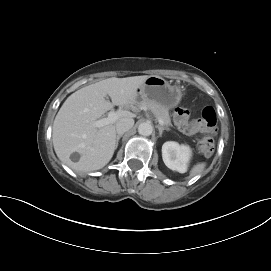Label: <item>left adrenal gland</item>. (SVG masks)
Wrapping results in <instances>:
<instances>
[{"label": "left adrenal gland", "instance_id": "obj_1", "mask_svg": "<svg viewBox=\"0 0 271 271\" xmlns=\"http://www.w3.org/2000/svg\"><path fill=\"white\" fill-rule=\"evenodd\" d=\"M157 128H158V130H159V137H162V133H163V131L164 130H168V129H166V128H163V127H161V126H157Z\"/></svg>", "mask_w": 271, "mask_h": 271}]
</instances>
